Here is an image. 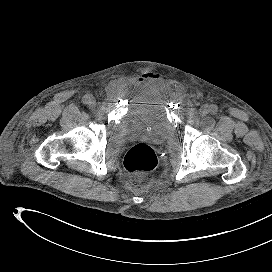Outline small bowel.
<instances>
[{
  "label": "small bowel",
  "mask_w": 272,
  "mask_h": 272,
  "mask_svg": "<svg viewBox=\"0 0 272 272\" xmlns=\"http://www.w3.org/2000/svg\"><path fill=\"white\" fill-rule=\"evenodd\" d=\"M139 81H143V79L141 77L138 78Z\"/></svg>",
  "instance_id": "obj_1"
}]
</instances>
